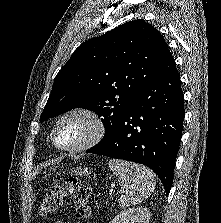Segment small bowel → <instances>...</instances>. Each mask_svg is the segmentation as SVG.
<instances>
[{
    "mask_svg": "<svg viewBox=\"0 0 221 223\" xmlns=\"http://www.w3.org/2000/svg\"><path fill=\"white\" fill-rule=\"evenodd\" d=\"M56 223H70L68 221H63V220H60V221H57Z\"/></svg>",
    "mask_w": 221,
    "mask_h": 223,
    "instance_id": "c3829d8e",
    "label": "small bowel"
}]
</instances>
